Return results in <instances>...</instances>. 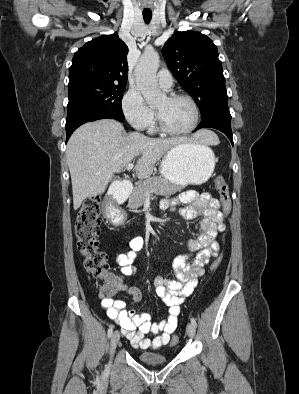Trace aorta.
I'll return each instance as SVG.
<instances>
[{
    "label": "aorta",
    "mask_w": 299,
    "mask_h": 394,
    "mask_svg": "<svg viewBox=\"0 0 299 394\" xmlns=\"http://www.w3.org/2000/svg\"><path fill=\"white\" fill-rule=\"evenodd\" d=\"M159 63L160 59L157 52H145L135 68L137 87L148 103L157 101L163 95L158 89L156 79Z\"/></svg>",
    "instance_id": "obj_1"
}]
</instances>
